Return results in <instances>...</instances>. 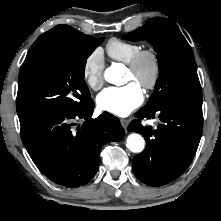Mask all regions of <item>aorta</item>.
<instances>
[{
    "label": "aorta",
    "instance_id": "aorta-1",
    "mask_svg": "<svg viewBox=\"0 0 221 221\" xmlns=\"http://www.w3.org/2000/svg\"><path fill=\"white\" fill-rule=\"evenodd\" d=\"M122 74L121 64H113L105 70L104 78L111 84L119 85ZM126 146L130 151L140 153L144 149L145 141L141 135L132 133L127 137Z\"/></svg>",
    "mask_w": 221,
    "mask_h": 221
}]
</instances>
